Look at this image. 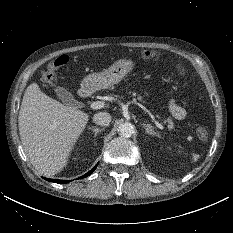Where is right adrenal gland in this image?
I'll return each instance as SVG.
<instances>
[{
  "label": "right adrenal gland",
  "instance_id": "right-adrenal-gland-1",
  "mask_svg": "<svg viewBox=\"0 0 233 233\" xmlns=\"http://www.w3.org/2000/svg\"><path fill=\"white\" fill-rule=\"evenodd\" d=\"M89 130H92L94 132V136L96 137L99 132H101L104 129H100L97 127H89Z\"/></svg>",
  "mask_w": 233,
  "mask_h": 233
}]
</instances>
